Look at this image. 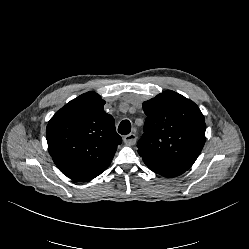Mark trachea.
Wrapping results in <instances>:
<instances>
[{
    "mask_svg": "<svg viewBox=\"0 0 249 249\" xmlns=\"http://www.w3.org/2000/svg\"><path fill=\"white\" fill-rule=\"evenodd\" d=\"M131 131V124L129 120H123L118 127V132L122 135L129 134Z\"/></svg>",
    "mask_w": 249,
    "mask_h": 249,
    "instance_id": "1",
    "label": "trachea"
}]
</instances>
